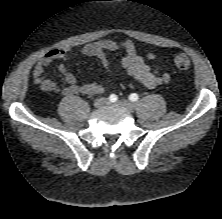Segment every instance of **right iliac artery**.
<instances>
[{
  "instance_id": "82829eb1",
  "label": "right iliac artery",
  "mask_w": 222,
  "mask_h": 219,
  "mask_svg": "<svg viewBox=\"0 0 222 219\" xmlns=\"http://www.w3.org/2000/svg\"><path fill=\"white\" fill-rule=\"evenodd\" d=\"M110 102L114 103L117 101V96L115 94L110 95L109 97Z\"/></svg>"
}]
</instances>
